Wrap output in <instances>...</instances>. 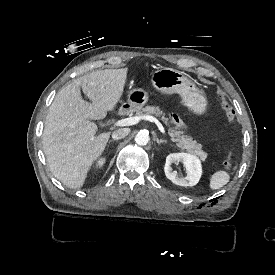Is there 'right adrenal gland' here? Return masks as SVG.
Here are the masks:
<instances>
[{
  "mask_svg": "<svg viewBox=\"0 0 275 275\" xmlns=\"http://www.w3.org/2000/svg\"><path fill=\"white\" fill-rule=\"evenodd\" d=\"M116 140H110L109 142H108V146L110 145V143H112V142H115Z\"/></svg>",
  "mask_w": 275,
  "mask_h": 275,
  "instance_id": "2a0ac1e0",
  "label": "right adrenal gland"
}]
</instances>
